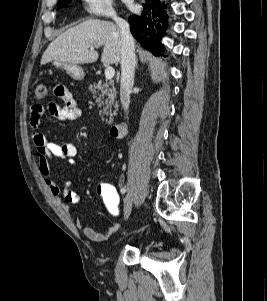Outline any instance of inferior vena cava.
Listing matches in <instances>:
<instances>
[{"instance_id": "602c4592", "label": "inferior vena cava", "mask_w": 267, "mask_h": 301, "mask_svg": "<svg viewBox=\"0 0 267 301\" xmlns=\"http://www.w3.org/2000/svg\"><path fill=\"white\" fill-rule=\"evenodd\" d=\"M114 21L118 25L121 33V82H120V100L127 112L130 104V92L134 84V70L136 65L134 39L130 33L129 24L114 16Z\"/></svg>"}]
</instances>
